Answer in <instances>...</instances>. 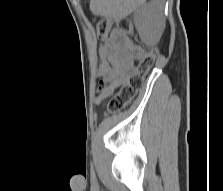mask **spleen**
Returning a JSON list of instances; mask_svg holds the SVG:
<instances>
[{"mask_svg": "<svg viewBox=\"0 0 223 191\" xmlns=\"http://www.w3.org/2000/svg\"><path fill=\"white\" fill-rule=\"evenodd\" d=\"M135 0H91L92 11L101 16L126 15L135 9Z\"/></svg>", "mask_w": 223, "mask_h": 191, "instance_id": "obj_1", "label": "spleen"}]
</instances>
